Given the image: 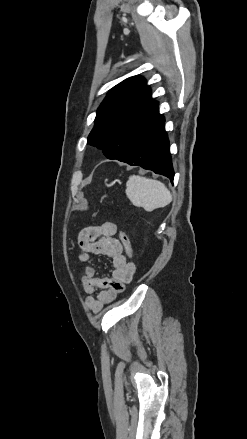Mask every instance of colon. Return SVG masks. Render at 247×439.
<instances>
[{
    "label": "colon",
    "instance_id": "1",
    "mask_svg": "<svg viewBox=\"0 0 247 439\" xmlns=\"http://www.w3.org/2000/svg\"><path fill=\"white\" fill-rule=\"evenodd\" d=\"M119 240L123 246V249H124L127 257L131 258L132 257V247H131V243H130V240H129L127 233L124 231H120L119 232Z\"/></svg>",
    "mask_w": 247,
    "mask_h": 439
}]
</instances>
